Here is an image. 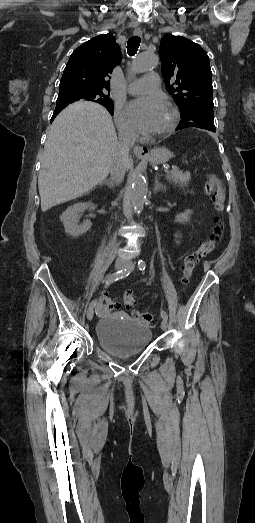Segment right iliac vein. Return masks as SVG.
<instances>
[{
    "label": "right iliac vein",
    "mask_w": 255,
    "mask_h": 523,
    "mask_svg": "<svg viewBox=\"0 0 255 523\" xmlns=\"http://www.w3.org/2000/svg\"><path fill=\"white\" fill-rule=\"evenodd\" d=\"M126 265H127L126 261H124L123 259H117L115 262V269L120 270L122 268H125ZM93 316H94V308L89 307L87 310V319L91 321L93 319Z\"/></svg>",
    "instance_id": "63e3f726"
}]
</instances>
